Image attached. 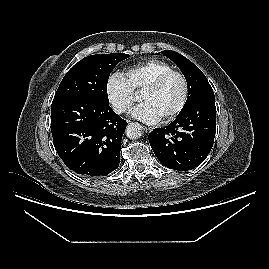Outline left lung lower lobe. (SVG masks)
Returning <instances> with one entry per match:
<instances>
[{
  "instance_id": "left-lung-lower-lobe-1",
  "label": "left lung lower lobe",
  "mask_w": 269,
  "mask_h": 269,
  "mask_svg": "<svg viewBox=\"0 0 269 269\" xmlns=\"http://www.w3.org/2000/svg\"><path fill=\"white\" fill-rule=\"evenodd\" d=\"M216 132L214 94L194 102L164 128L148 136L158 160L166 167L188 171L200 165L209 154Z\"/></svg>"
}]
</instances>
